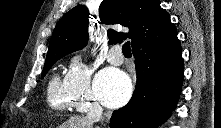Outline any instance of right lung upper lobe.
<instances>
[{
    "mask_svg": "<svg viewBox=\"0 0 221 128\" xmlns=\"http://www.w3.org/2000/svg\"><path fill=\"white\" fill-rule=\"evenodd\" d=\"M100 20L104 24H120L129 33L108 30L110 42L131 39L132 48L162 47L176 35V27L170 22L168 12L160 7L159 0H103L99 7ZM89 12L78 5L68 11L57 23L46 61L82 49L88 42Z\"/></svg>",
    "mask_w": 221,
    "mask_h": 128,
    "instance_id": "obj_1",
    "label": "right lung upper lobe"
}]
</instances>
